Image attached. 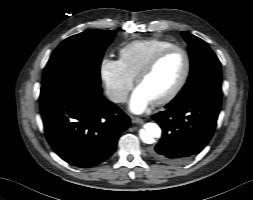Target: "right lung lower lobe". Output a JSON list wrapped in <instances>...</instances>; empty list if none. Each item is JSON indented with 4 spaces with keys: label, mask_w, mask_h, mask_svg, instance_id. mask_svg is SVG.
<instances>
[{
    "label": "right lung lower lobe",
    "mask_w": 253,
    "mask_h": 200,
    "mask_svg": "<svg viewBox=\"0 0 253 200\" xmlns=\"http://www.w3.org/2000/svg\"><path fill=\"white\" fill-rule=\"evenodd\" d=\"M40 108L45 135L64 161L92 167L115 151L130 118L108 101L101 87L70 80L42 85Z\"/></svg>",
    "instance_id": "1"
}]
</instances>
